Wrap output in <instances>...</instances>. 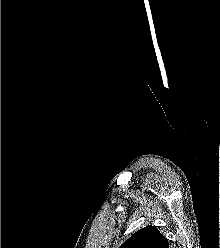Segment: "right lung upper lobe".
<instances>
[{
	"label": "right lung upper lobe",
	"mask_w": 220,
	"mask_h": 248,
	"mask_svg": "<svg viewBox=\"0 0 220 248\" xmlns=\"http://www.w3.org/2000/svg\"><path fill=\"white\" fill-rule=\"evenodd\" d=\"M119 248H169V245L156 227L147 226L134 233Z\"/></svg>",
	"instance_id": "cb5924a9"
}]
</instances>
